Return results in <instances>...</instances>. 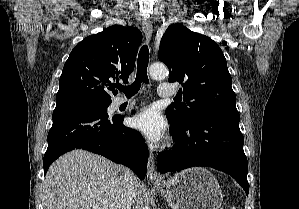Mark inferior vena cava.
I'll list each match as a JSON object with an SVG mask.
<instances>
[{"instance_id": "inferior-vena-cava-1", "label": "inferior vena cava", "mask_w": 299, "mask_h": 209, "mask_svg": "<svg viewBox=\"0 0 299 209\" xmlns=\"http://www.w3.org/2000/svg\"><path fill=\"white\" fill-rule=\"evenodd\" d=\"M123 189L121 197L117 203V209H131L133 203L132 185L135 179L129 168L123 167Z\"/></svg>"}]
</instances>
